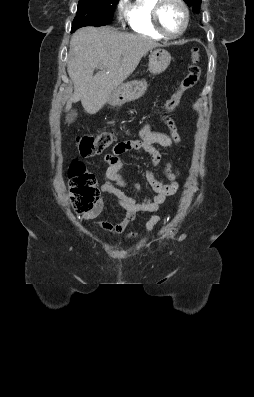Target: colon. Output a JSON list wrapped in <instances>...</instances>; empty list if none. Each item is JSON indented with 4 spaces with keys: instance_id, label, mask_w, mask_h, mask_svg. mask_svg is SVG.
I'll return each instance as SVG.
<instances>
[{
    "instance_id": "colon-1",
    "label": "colon",
    "mask_w": 254,
    "mask_h": 397,
    "mask_svg": "<svg viewBox=\"0 0 254 397\" xmlns=\"http://www.w3.org/2000/svg\"><path fill=\"white\" fill-rule=\"evenodd\" d=\"M201 74L199 66V51L192 50L191 63L178 89L165 101L164 109L167 112L175 110L180 104L185 92L193 88ZM115 141L112 132L104 131L96 136L84 135L76 138V144L82 157H91L102 153ZM69 192L72 207L77 212L91 209L99 199L94 175L81 162H74L68 170Z\"/></svg>"
}]
</instances>
